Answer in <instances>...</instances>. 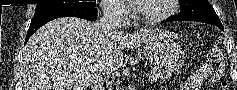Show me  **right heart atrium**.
<instances>
[{
    "label": "right heart atrium",
    "instance_id": "right-heart-atrium-1",
    "mask_svg": "<svg viewBox=\"0 0 237 90\" xmlns=\"http://www.w3.org/2000/svg\"><path fill=\"white\" fill-rule=\"evenodd\" d=\"M100 6H104L106 14L114 20H126L127 10L118 2H99Z\"/></svg>",
    "mask_w": 237,
    "mask_h": 90
}]
</instances>
